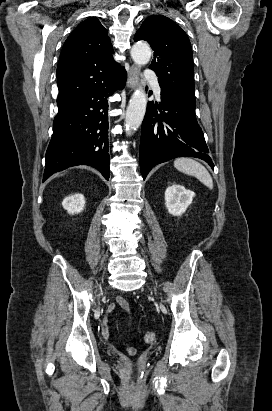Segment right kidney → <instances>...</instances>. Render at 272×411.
Instances as JSON below:
<instances>
[{
    "label": "right kidney",
    "instance_id": "obj_1",
    "mask_svg": "<svg viewBox=\"0 0 272 411\" xmlns=\"http://www.w3.org/2000/svg\"><path fill=\"white\" fill-rule=\"evenodd\" d=\"M85 205V197L83 194H73L67 196L63 202L62 206L69 214H78L83 211Z\"/></svg>",
    "mask_w": 272,
    "mask_h": 411
}]
</instances>
